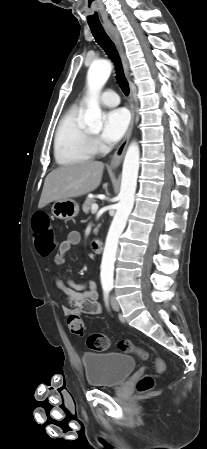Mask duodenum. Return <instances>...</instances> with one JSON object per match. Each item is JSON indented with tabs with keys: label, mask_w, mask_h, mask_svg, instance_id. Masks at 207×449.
Here are the masks:
<instances>
[{
	"label": "duodenum",
	"mask_w": 207,
	"mask_h": 449,
	"mask_svg": "<svg viewBox=\"0 0 207 449\" xmlns=\"http://www.w3.org/2000/svg\"><path fill=\"white\" fill-rule=\"evenodd\" d=\"M91 247H92L93 252L99 254L103 250V241L99 238L93 239L91 241Z\"/></svg>",
	"instance_id": "duodenum-1"
}]
</instances>
